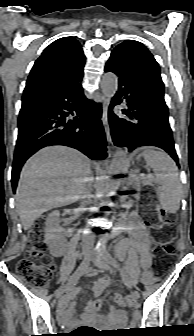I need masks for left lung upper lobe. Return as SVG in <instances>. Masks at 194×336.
<instances>
[{
    "mask_svg": "<svg viewBox=\"0 0 194 336\" xmlns=\"http://www.w3.org/2000/svg\"><path fill=\"white\" fill-rule=\"evenodd\" d=\"M113 51L120 52L130 65L154 88L164 96V84L160 76L159 65L149 50L137 41H124Z\"/></svg>",
    "mask_w": 194,
    "mask_h": 336,
    "instance_id": "5c2ea615",
    "label": "left lung upper lobe"
}]
</instances>
